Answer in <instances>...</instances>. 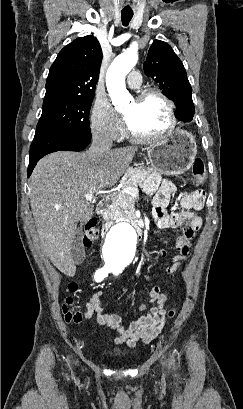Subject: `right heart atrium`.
<instances>
[{
    "mask_svg": "<svg viewBox=\"0 0 243 409\" xmlns=\"http://www.w3.org/2000/svg\"><path fill=\"white\" fill-rule=\"evenodd\" d=\"M90 129L96 139L106 143H113L122 138L121 121L108 100L95 101L90 114Z\"/></svg>",
    "mask_w": 243,
    "mask_h": 409,
    "instance_id": "d8ad5b80",
    "label": "right heart atrium"
}]
</instances>
